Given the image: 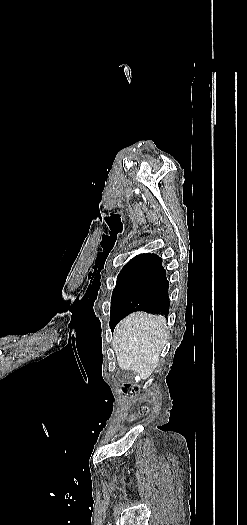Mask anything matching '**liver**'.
<instances>
[{"label": "liver", "instance_id": "obj_1", "mask_svg": "<svg viewBox=\"0 0 247 525\" xmlns=\"http://www.w3.org/2000/svg\"><path fill=\"white\" fill-rule=\"evenodd\" d=\"M165 317L143 311L131 313L116 325L112 347L122 371H134L143 381L156 369L167 345Z\"/></svg>", "mask_w": 247, "mask_h": 525}]
</instances>
